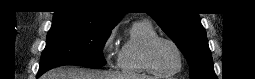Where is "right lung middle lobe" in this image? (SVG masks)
<instances>
[{
	"mask_svg": "<svg viewBox=\"0 0 255 79\" xmlns=\"http://www.w3.org/2000/svg\"><path fill=\"white\" fill-rule=\"evenodd\" d=\"M110 29L52 25L41 56L39 74L61 65H80L87 68L104 66L102 49Z\"/></svg>",
	"mask_w": 255,
	"mask_h": 79,
	"instance_id": "obj_1",
	"label": "right lung middle lobe"
}]
</instances>
